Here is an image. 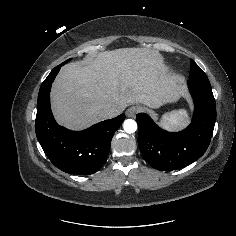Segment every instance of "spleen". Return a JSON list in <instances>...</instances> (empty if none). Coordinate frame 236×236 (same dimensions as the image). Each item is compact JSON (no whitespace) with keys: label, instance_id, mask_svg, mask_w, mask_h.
I'll return each mask as SVG.
<instances>
[{"label":"spleen","instance_id":"3e777b00","mask_svg":"<svg viewBox=\"0 0 236 236\" xmlns=\"http://www.w3.org/2000/svg\"><path fill=\"white\" fill-rule=\"evenodd\" d=\"M187 117L186 110H175L163 116L161 125L167 129H176L185 125Z\"/></svg>","mask_w":236,"mask_h":236}]
</instances>
